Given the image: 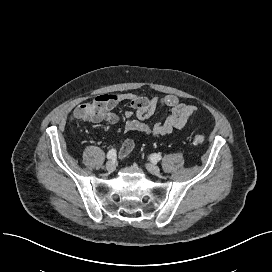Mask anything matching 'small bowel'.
Masks as SVG:
<instances>
[{"mask_svg":"<svg viewBox=\"0 0 272 272\" xmlns=\"http://www.w3.org/2000/svg\"><path fill=\"white\" fill-rule=\"evenodd\" d=\"M128 102L134 112L126 111L124 114L127 121L124 125V132H141L153 137H162L175 130H181L192 123L196 114V107L185 104L174 94L165 96L147 97L131 92H117L113 94H100L94 99L79 105L72 113V118L81 121L100 123L108 121L116 123L118 115L114 111L119 103ZM159 105L169 109L165 118L155 124L147 123ZM134 149V141L126 139L121 145L118 156L126 157Z\"/></svg>","mask_w":272,"mask_h":272,"instance_id":"c3829d8e","label":"small bowel"}]
</instances>
